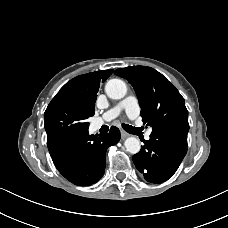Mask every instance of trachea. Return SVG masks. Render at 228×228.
Returning <instances> with one entry per match:
<instances>
[{
	"instance_id": "1",
	"label": "trachea",
	"mask_w": 228,
	"mask_h": 228,
	"mask_svg": "<svg viewBox=\"0 0 228 228\" xmlns=\"http://www.w3.org/2000/svg\"><path fill=\"white\" fill-rule=\"evenodd\" d=\"M104 128H106L108 130V126H103ZM122 127L124 128L125 131L132 133V131L134 130V127L128 125V124H122Z\"/></svg>"
}]
</instances>
